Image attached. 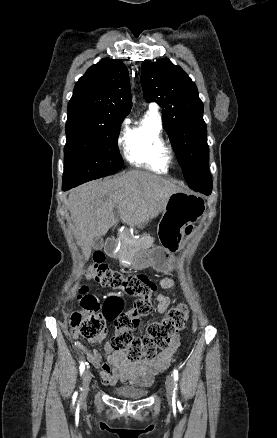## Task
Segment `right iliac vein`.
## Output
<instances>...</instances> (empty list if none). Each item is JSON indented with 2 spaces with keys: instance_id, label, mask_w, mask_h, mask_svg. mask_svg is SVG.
Listing matches in <instances>:
<instances>
[{
  "instance_id": "63e3f726",
  "label": "right iliac vein",
  "mask_w": 277,
  "mask_h": 438,
  "mask_svg": "<svg viewBox=\"0 0 277 438\" xmlns=\"http://www.w3.org/2000/svg\"><path fill=\"white\" fill-rule=\"evenodd\" d=\"M82 378H83V381H82L81 395H82V398H85L87 396L90 381H91V372L89 369H86L84 371Z\"/></svg>"
}]
</instances>
